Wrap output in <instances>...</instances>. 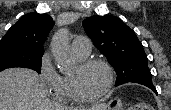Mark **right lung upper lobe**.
<instances>
[{"mask_svg":"<svg viewBox=\"0 0 171 110\" xmlns=\"http://www.w3.org/2000/svg\"><path fill=\"white\" fill-rule=\"evenodd\" d=\"M53 27V20L47 14L30 13L22 16L1 39L0 45L10 44L43 53V44Z\"/></svg>","mask_w":171,"mask_h":110,"instance_id":"cb5924a9","label":"right lung upper lobe"}]
</instances>
